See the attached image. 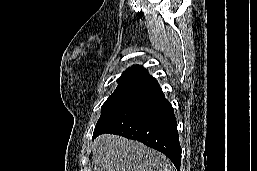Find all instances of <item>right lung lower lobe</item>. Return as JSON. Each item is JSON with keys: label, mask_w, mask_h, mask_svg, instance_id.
<instances>
[{"label": "right lung lower lobe", "mask_w": 257, "mask_h": 171, "mask_svg": "<svg viewBox=\"0 0 257 171\" xmlns=\"http://www.w3.org/2000/svg\"><path fill=\"white\" fill-rule=\"evenodd\" d=\"M103 133L138 140L164 153L180 171L181 147L176 117L159 85L130 101L96 128L93 139Z\"/></svg>", "instance_id": "right-lung-lower-lobe-1"}]
</instances>
